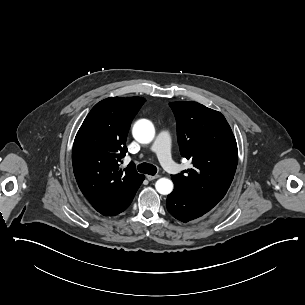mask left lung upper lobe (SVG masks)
<instances>
[{
	"instance_id": "5c2ea615",
	"label": "left lung upper lobe",
	"mask_w": 305,
	"mask_h": 305,
	"mask_svg": "<svg viewBox=\"0 0 305 305\" xmlns=\"http://www.w3.org/2000/svg\"><path fill=\"white\" fill-rule=\"evenodd\" d=\"M177 138L192 169L172 175L175 188L194 198L219 202L233 180L238 150L225 117L197 102H171ZM185 173V174H184Z\"/></svg>"
}]
</instances>
